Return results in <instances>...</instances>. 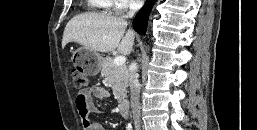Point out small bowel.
I'll return each mask as SVG.
<instances>
[{
  "label": "small bowel",
  "mask_w": 257,
  "mask_h": 130,
  "mask_svg": "<svg viewBox=\"0 0 257 130\" xmlns=\"http://www.w3.org/2000/svg\"><path fill=\"white\" fill-rule=\"evenodd\" d=\"M109 97V92L102 86L93 85L81 90L76 97L77 112L82 120L83 130H105L99 122H94L89 119L92 113H98L93 99H106Z\"/></svg>",
  "instance_id": "obj_1"
}]
</instances>
